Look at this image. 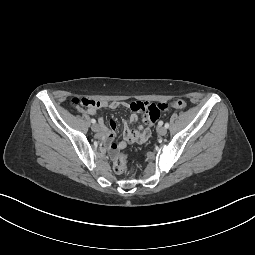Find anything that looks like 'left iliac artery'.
I'll return each mask as SVG.
<instances>
[{"label":"left iliac artery","instance_id":"44dca946","mask_svg":"<svg viewBox=\"0 0 255 255\" xmlns=\"http://www.w3.org/2000/svg\"><path fill=\"white\" fill-rule=\"evenodd\" d=\"M168 127H169V123L166 122V123H165V128H168Z\"/></svg>","mask_w":255,"mask_h":255}]
</instances>
